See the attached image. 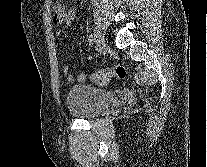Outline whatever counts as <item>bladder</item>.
<instances>
[{
  "instance_id": "1",
  "label": "bladder",
  "mask_w": 207,
  "mask_h": 167,
  "mask_svg": "<svg viewBox=\"0 0 207 167\" xmlns=\"http://www.w3.org/2000/svg\"><path fill=\"white\" fill-rule=\"evenodd\" d=\"M115 101L113 92L85 84L73 85L66 95V106L75 116L90 118L100 114Z\"/></svg>"
}]
</instances>
